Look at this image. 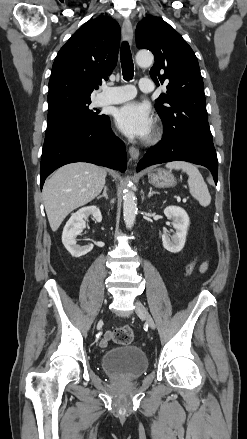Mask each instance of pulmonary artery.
<instances>
[{
    "instance_id": "e3ab8cb5",
    "label": "pulmonary artery",
    "mask_w": 247,
    "mask_h": 439,
    "mask_svg": "<svg viewBox=\"0 0 247 439\" xmlns=\"http://www.w3.org/2000/svg\"><path fill=\"white\" fill-rule=\"evenodd\" d=\"M140 90L150 93L154 90V83L149 78H142L139 83ZM136 90L131 85L109 87L105 89L103 95L99 98L100 105L118 104L132 99Z\"/></svg>"
}]
</instances>
